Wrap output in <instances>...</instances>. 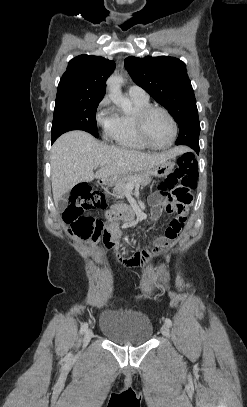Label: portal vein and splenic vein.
Wrapping results in <instances>:
<instances>
[{"mask_svg": "<svg viewBox=\"0 0 247 407\" xmlns=\"http://www.w3.org/2000/svg\"><path fill=\"white\" fill-rule=\"evenodd\" d=\"M133 186H134V184H133L132 181H130V182L128 183V185H127L128 188H132Z\"/></svg>", "mask_w": 247, "mask_h": 407, "instance_id": "18ae733b", "label": "portal vein and splenic vein"}]
</instances>
